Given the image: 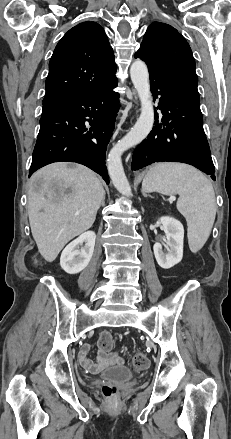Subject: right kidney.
Here are the masks:
<instances>
[{
	"label": "right kidney",
	"mask_w": 231,
	"mask_h": 439,
	"mask_svg": "<svg viewBox=\"0 0 231 439\" xmlns=\"http://www.w3.org/2000/svg\"><path fill=\"white\" fill-rule=\"evenodd\" d=\"M95 240L96 234L88 231L68 244L61 254V268L68 274H77L86 268L94 252ZM83 243L84 247L79 249Z\"/></svg>",
	"instance_id": "1"
}]
</instances>
